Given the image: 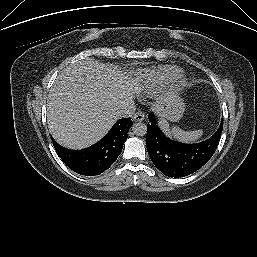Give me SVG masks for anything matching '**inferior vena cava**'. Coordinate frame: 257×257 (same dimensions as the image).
Returning <instances> with one entry per match:
<instances>
[{
    "mask_svg": "<svg viewBox=\"0 0 257 257\" xmlns=\"http://www.w3.org/2000/svg\"><path fill=\"white\" fill-rule=\"evenodd\" d=\"M136 107L134 101H127L124 102L118 109H117V116L119 118H128L133 116L135 113Z\"/></svg>",
    "mask_w": 257,
    "mask_h": 257,
    "instance_id": "obj_1",
    "label": "inferior vena cava"
}]
</instances>
